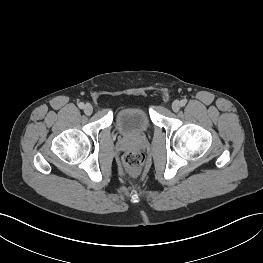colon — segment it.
I'll return each mask as SVG.
<instances>
[{"mask_svg":"<svg viewBox=\"0 0 263 263\" xmlns=\"http://www.w3.org/2000/svg\"><path fill=\"white\" fill-rule=\"evenodd\" d=\"M123 164L132 176H137L144 168L145 155L140 151H128L123 156Z\"/></svg>","mask_w":263,"mask_h":263,"instance_id":"5ec220e1","label":"colon"}]
</instances>
